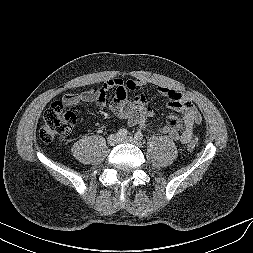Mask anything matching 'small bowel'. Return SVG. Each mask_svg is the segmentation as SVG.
Listing matches in <instances>:
<instances>
[{"label":"small bowel","mask_w":253,"mask_h":253,"mask_svg":"<svg viewBox=\"0 0 253 253\" xmlns=\"http://www.w3.org/2000/svg\"><path fill=\"white\" fill-rule=\"evenodd\" d=\"M146 85L142 78H131L123 80L120 77L109 78L100 86L92 87L79 93H68L63 101L66 104L79 102L96 103L105 106L107 103V92L115 89V95L109 106L111 111L119 118L125 119L131 126L140 125L150 132H159L182 144H187L193 137V126L202 121V116L193 102L180 91L160 86L158 92L168 99V107L172 110L182 112V117L171 114L165 125L159 129H152L147 125L148 118L153 116V110L149 106L145 96L136 93L134 98H129V92L135 91Z\"/></svg>","instance_id":"c3829d8e"}]
</instances>
